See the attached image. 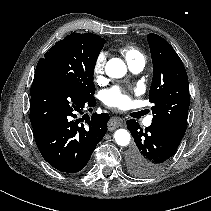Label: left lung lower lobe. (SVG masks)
Returning a JSON list of instances; mask_svg holds the SVG:
<instances>
[{
    "mask_svg": "<svg viewBox=\"0 0 211 211\" xmlns=\"http://www.w3.org/2000/svg\"><path fill=\"white\" fill-rule=\"evenodd\" d=\"M136 146L128 155L130 172L139 177H149L161 172L177 151L181 141L151 124L144 130L136 120L127 121Z\"/></svg>",
    "mask_w": 211,
    "mask_h": 211,
    "instance_id": "obj_1",
    "label": "left lung lower lobe"
}]
</instances>
